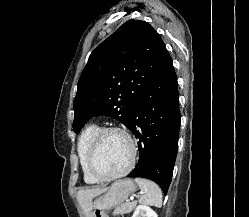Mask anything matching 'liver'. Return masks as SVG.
Masks as SVG:
<instances>
[{
    "instance_id": "liver-1",
    "label": "liver",
    "mask_w": 249,
    "mask_h": 217,
    "mask_svg": "<svg viewBox=\"0 0 249 217\" xmlns=\"http://www.w3.org/2000/svg\"><path fill=\"white\" fill-rule=\"evenodd\" d=\"M106 188H91L80 190L77 193V200L86 214V217H92V200L94 197L104 193Z\"/></svg>"
}]
</instances>
